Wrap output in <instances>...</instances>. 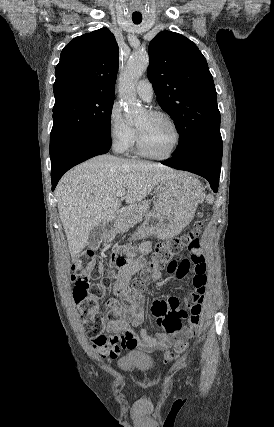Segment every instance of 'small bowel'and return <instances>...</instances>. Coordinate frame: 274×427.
I'll list each match as a JSON object with an SVG mask.
<instances>
[{
    "label": "small bowel",
    "instance_id": "1",
    "mask_svg": "<svg viewBox=\"0 0 274 427\" xmlns=\"http://www.w3.org/2000/svg\"><path fill=\"white\" fill-rule=\"evenodd\" d=\"M150 247V242H144L138 255L130 262L127 261L118 267L112 293L102 300L106 315L113 311L116 316L114 318L107 316L104 325L106 333L93 337L92 347L99 358L114 359L121 350H138L144 353L161 350L163 345H176L180 339L187 340L198 332L208 270L201 252L203 248L199 244L190 246L191 255L181 259L179 265L169 264L164 271L166 278H182L188 273H193L194 291L188 301L189 326L183 332L180 331L181 327L187 326L186 313L185 311L170 310H183L184 302L180 300L179 293H170L169 299L153 300L152 319L154 327H162L164 332H171V335L162 332L149 335L144 328L140 329L138 333L134 331V328L140 326L144 320L147 300L139 292L129 287V280L134 272L145 267V254L149 252ZM117 252L126 253L124 249ZM79 276L82 277V281L88 282L91 277V269H84ZM151 278L155 283H159L163 276L159 271H153ZM124 299L128 300V304H125Z\"/></svg>",
    "mask_w": 274,
    "mask_h": 427
}]
</instances>
